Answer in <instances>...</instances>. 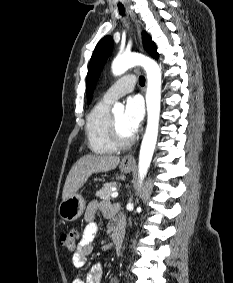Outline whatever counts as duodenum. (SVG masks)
<instances>
[{"mask_svg":"<svg viewBox=\"0 0 233 283\" xmlns=\"http://www.w3.org/2000/svg\"><path fill=\"white\" fill-rule=\"evenodd\" d=\"M124 231L121 224L115 229L113 233V244L116 255L121 254L122 243H123Z\"/></svg>","mask_w":233,"mask_h":283,"instance_id":"410a0bca","label":"duodenum"}]
</instances>
